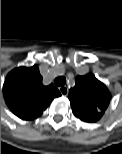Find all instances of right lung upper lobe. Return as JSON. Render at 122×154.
I'll return each mask as SVG.
<instances>
[{
  "label": "right lung upper lobe",
  "mask_w": 122,
  "mask_h": 154,
  "mask_svg": "<svg viewBox=\"0 0 122 154\" xmlns=\"http://www.w3.org/2000/svg\"><path fill=\"white\" fill-rule=\"evenodd\" d=\"M3 94L10 110L23 120L39 117L54 98L61 96L53 84H42L37 65L12 70L5 79Z\"/></svg>",
  "instance_id": "right-lung-upper-lobe-1"
}]
</instances>
